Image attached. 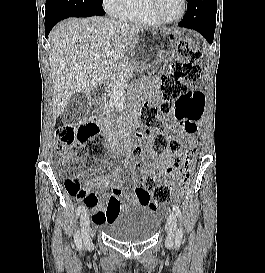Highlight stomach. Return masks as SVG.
I'll return each mask as SVG.
<instances>
[{"label":"stomach","mask_w":265,"mask_h":273,"mask_svg":"<svg viewBox=\"0 0 265 273\" xmlns=\"http://www.w3.org/2000/svg\"><path fill=\"white\" fill-rule=\"evenodd\" d=\"M181 30H153L143 29L129 44L131 53L138 55L140 64H135L131 78H156V73H163L168 69L173 51H168L173 40H180Z\"/></svg>","instance_id":"0dacf381"}]
</instances>
